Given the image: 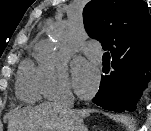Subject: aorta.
Masks as SVG:
<instances>
[{
    "instance_id": "1",
    "label": "aorta",
    "mask_w": 151,
    "mask_h": 131,
    "mask_svg": "<svg viewBox=\"0 0 151 131\" xmlns=\"http://www.w3.org/2000/svg\"><path fill=\"white\" fill-rule=\"evenodd\" d=\"M62 34V30L61 29H55L52 33H51V38L54 40V42H57Z\"/></svg>"
}]
</instances>
